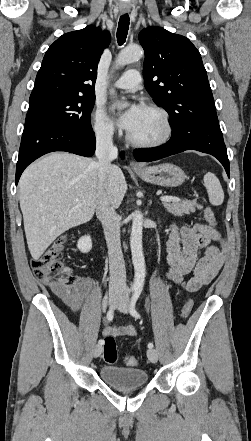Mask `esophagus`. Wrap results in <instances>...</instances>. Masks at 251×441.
Segmentation results:
<instances>
[{
	"label": "esophagus",
	"instance_id": "obj_1",
	"mask_svg": "<svg viewBox=\"0 0 251 441\" xmlns=\"http://www.w3.org/2000/svg\"><path fill=\"white\" fill-rule=\"evenodd\" d=\"M127 12H129L128 8H126V7L121 8V13L125 14ZM130 167L133 168V169H139V168H142V165L137 163L136 161H131L130 162Z\"/></svg>",
	"mask_w": 251,
	"mask_h": 441
}]
</instances>
